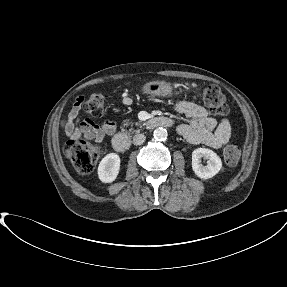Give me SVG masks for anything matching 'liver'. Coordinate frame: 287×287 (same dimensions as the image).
<instances>
[{
    "label": "liver",
    "instance_id": "obj_1",
    "mask_svg": "<svg viewBox=\"0 0 287 287\" xmlns=\"http://www.w3.org/2000/svg\"><path fill=\"white\" fill-rule=\"evenodd\" d=\"M67 157L70 159L72 156V152L70 149L66 150Z\"/></svg>",
    "mask_w": 287,
    "mask_h": 287
}]
</instances>
